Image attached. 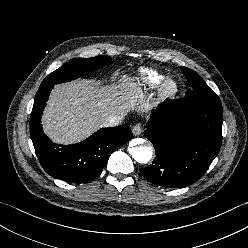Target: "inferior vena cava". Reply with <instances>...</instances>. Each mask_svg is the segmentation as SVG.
Listing matches in <instances>:
<instances>
[{
    "label": "inferior vena cava",
    "instance_id": "602c4592",
    "mask_svg": "<svg viewBox=\"0 0 248 248\" xmlns=\"http://www.w3.org/2000/svg\"><path fill=\"white\" fill-rule=\"evenodd\" d=\"M124 119L123 114H117V115H110L107 118L104 119V126L105 127H114L118 126L122 123V120Z\"/></svg>",
    "mask_w": 248,
    "mask_h": 248
}]
</instances>
